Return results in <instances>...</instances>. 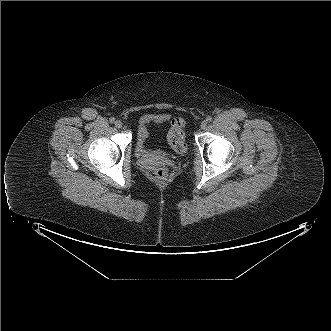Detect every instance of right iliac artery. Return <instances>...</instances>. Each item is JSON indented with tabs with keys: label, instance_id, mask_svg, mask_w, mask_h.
I'll list each match as a JSON object with an SVG mask.
<instances>
[{
	"label": "right iliac artery",
	"instance_id": "right-iliac-artery-1",
	"mask_svg": "<svg viewBox=\"0 0 331 331\" xmlns=\"http://www.w3.org/2000/svg\"><path fill=\"white\" fill-rule=\"evenodd\" d=\"M109 121H110L111 123H114V122H115V118H114V117H111V118L109 119Z\"/></svg>",
	"mask_w": 331,
	"mask_h": 331
}]
</instances>
